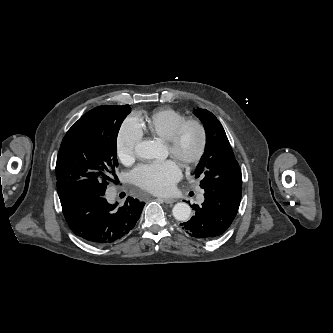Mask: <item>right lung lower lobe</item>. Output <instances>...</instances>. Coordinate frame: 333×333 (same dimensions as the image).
<instances>
[{"label": "right lung lower lobe", "instance_id": "98d812e1", "mask_svg": "<svg viewBox=\"0 0 333 333\" xmlns=\"http://www.w3.org/2000/svg\"><path fill=\"white\" fill-rule=\"evenodd\" d=\"M70 229L93 245H109L126 236L135 226L145 205L128 197L122 206L109 204L104 195H84L61 200Z\"/></svg>", "mask_w": 333, "mask_h": 333}]
</instances>
